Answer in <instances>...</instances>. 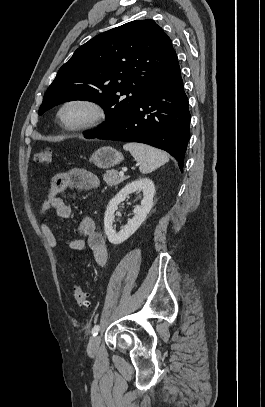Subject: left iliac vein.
Segmentation results:
<instances>
[{"label": "left iliac vein", "mask_w": 265, "mask_h": 407, "mask_svg": "<svg viewBox=\"0 0 265 407\" xmlns=\"http://www.w3.org/2000/svg\"><path fill=\"white\" fill-rule=\"evenodd\" d=\"M99 343H100L99 335L92 336L90 338L88 347H87V351L90 355H94L98 351Z\"/></svg>", "instance_id": "obj_1"}]
</instances>
